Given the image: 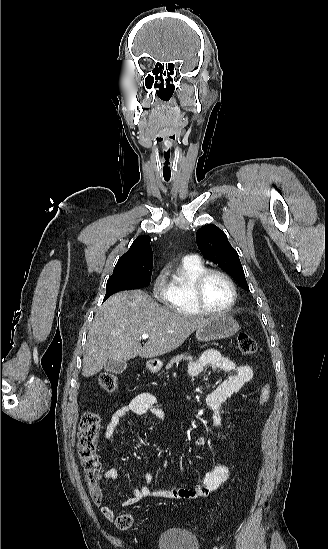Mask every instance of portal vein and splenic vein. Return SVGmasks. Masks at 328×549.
I'll list each match as a JSON object with an SVG mask.
<instances>
[{"mask_svg": "<svg viewBox=\"0 0 328 549\" xmlns=\"http://www.w3.org/2000/svg\"><path fill=\"white\" fill-rule=\"evenodd\" d=\"M140 339H149V335H141Z\"/></svg>", "mask_w": 328, "mask_h": 549, "instance_id": "18ae733b", "label": "portal vein and splenic vein"}]
</instances>
